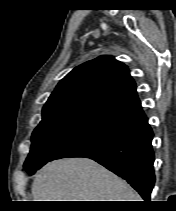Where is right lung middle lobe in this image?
Instances as JSON below:
<instances>
[{
	"label": "right lung middle lobe",
	"instance_id": "dd1d6c3e",
	"mask_svg": "<svg viewBox=\"0 0 176 211\" xmlns=\"http://www.w3.org/2000/svg\"><path fill=\"white\" fill-rule=\"evenodd\" d=\"M99 122L63 114L43 115L32 134L30 153L24 163L29 173L47 163L58 151L84 135Z\"/></svg>",
	"mask_w": 176,
	"mask_h": 211
}]
</instances>
